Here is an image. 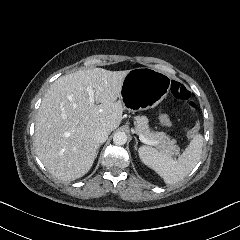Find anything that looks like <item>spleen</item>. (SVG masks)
<instances>
[{"instance_id":"obj_1","label":"spleen","mask_w":240,"mask_h":240,"mask_svg":"<svg viewBox=\"0 0 240 240\" xmlns=\"http://www.w3.org/2000/svg\"><path fill=\"white\" fill-rule=\"evenodd\" d=\"M203 141L202 135L195 136L177 160L149 146L141 147L139 154L142 161L163 176L167 184H175L187 176L199 162Z\"/></svg>"}]
</instances>
